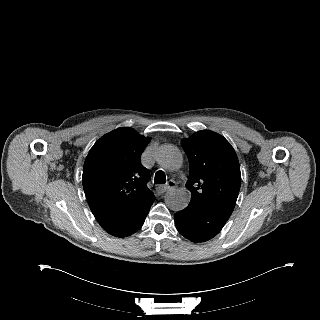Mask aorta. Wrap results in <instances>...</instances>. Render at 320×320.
Segmentation results:
<instances>
[{
  "label": "aorta",
  "instance_id": "aorta-1",
  "mask_svg": "<svg viewBox=\"0 0 320 320\" xmlns=\"http://www.w3.org/2000/svg\"><path fill=\"white\" fill-rule=\"evenodd\" d=\"M158 164L166 170H176L182 164L180 151L171 145L162 146L157 152ZM191 194L185 189H176L167 192L165 196L166 205L174 211L183 210L190 202Z\"/></svg>",
  "mask_w": 320,
  "mask_h": 320
}]
</instances>
